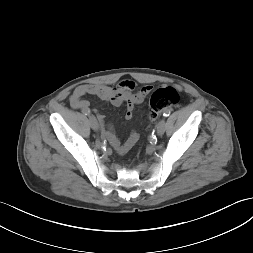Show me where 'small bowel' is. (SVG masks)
<instances>
[{"label": "small bowel", "instance_id": "1", "mask_svg": "<svg viewBox=\"0 0 253 253\" xmlns=\"http://www.w3.org/2000/svg\"><path fill=\"white\" fill-rule=\"evenodd\" d=\"M152 86H143L137 92H134L135 83L131 80L121 81L116 87L104 84H82L75 88L70 96V105L73 109L81 110L83 113L90 111V103L84 99L85 95H95L102 100L109 101L115 106L126 103L127 109L125 118L130 120L133 117L134 106L144 101L145 97L152 91ZM102 125V133L109 140L114 149L120 153H126L138 140V134L131 132L124 143H121L118 137L105 129L104 118L99 115Z\"/></svg>", "mask_w": 253, "mask_h": 253}]
</instances>
